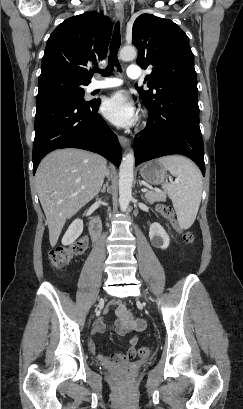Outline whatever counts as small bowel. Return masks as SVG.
Returning <instances> with one entry per match:
<instances>
[{
    "mask_svg": "<svg viewBox=\"0 0 243 409\" xmlns=\"http://www.w3.org/2000/svg\"><path fill=\"white\" fill-rule=\"evenodd\" d=\"M111 309L115 310L116 321L111 325H107L103 320H99L93 327L92 336L110 329H114L116 333L122 337L128 335L130 332H141L144 330L145 322L140 318L132 317L123 301H114L104 312L109 313ZM137 343V336H133L128 342V350L126 353L110 356H104L98 353L97 345L92 338L88 343V347L90 352L96 355L100 362L106 365H112L133 359L136 355L135 348Z\"/></svg>",
    "mask_w": 243,
    "mask_h": 409,
    "instance_id": "c3829d8e",
    "label": "small bowel"
}]
</instances>
